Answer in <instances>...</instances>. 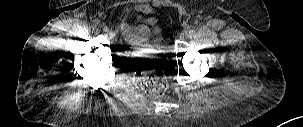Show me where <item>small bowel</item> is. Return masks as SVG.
I'll return each instance as SVG.
<instances>
[{
  "instance_id": "obj_1",
  "label": "small bowel",
  "mask_w": 303,
  "mask_h": 127,
  "mask_svg": "<svg viewBox=\"0 0 303 127\" xmlns=\"http://www.w3.org/2000/svg\"><path fill=\"white\" fill-rule=\"evenodd\" d=\"M146 25L142 26V34H145L147 32V25H151L154 23V20L151 18H148L145 20ZM128 26L126 24L122 25V30L127 31Z\"/></svg>"
}]
</instances>
